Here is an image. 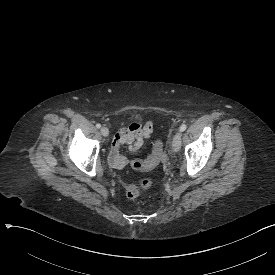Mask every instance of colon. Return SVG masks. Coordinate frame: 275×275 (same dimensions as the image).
I'll return each instance as SVG.
<instances>
[{
    "label": "colon",
    "mask_w": 275,
    "mask_h": 275,
    "mask_svg": "<svg viewBox=\"0 0 275 275\" xmlns=\"http://www.w3.org/2000/svg\"><path fill=\"white\" fill-rule=\"evenodd\" d=\"M164 152V143L161 140H156L153 143V148L149 152V157L144 159H137L134 162V167L137 170H151L155 167L159 160L160 155ZM152 181L149 178H144L136 184H130L126 187V196L130 199H135L140 196V194L150 188Z\"/></svg>",
    "instance_id": "5ec220e1"
}]
</instances>
